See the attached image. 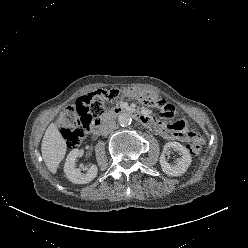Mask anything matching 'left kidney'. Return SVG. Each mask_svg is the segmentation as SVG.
<instances>
[{"mask_svg": "<svg viewBox=\"0 0 248 248\" xmlns=\"http://www.w3.org/2000/svg\"><path fill=\"white\" fill-rule=\"evenodd\" d=\"M175 149L179 151L182 157L179 159L176 165H170L166 160V154L169 153V149ZM192 159L188 149L182 144L172 141L164 145L163 153L160 156V164L162 171L169 176H180L184 174L189 165L191 164Z\"/></svg>", "mask_w": 248, "mask_h": 248, "instance_id": "obj_1", "label": "left kidney"}]
</instances>
